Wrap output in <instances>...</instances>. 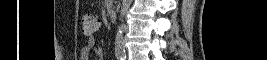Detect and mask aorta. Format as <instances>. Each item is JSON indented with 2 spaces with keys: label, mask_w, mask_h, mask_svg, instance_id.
I'll list each match as a JSON object with an SVG mask.
<instances>
[{
  "label": "aorta",
  "mask_w": 267,
  "mask_h": 60,
  "mask_svg": "<svg viewBox=\"0 0 267 60\" xmlns=\"http://www.w3.org/2000/svg\"><path fill=\"white\" fill-rule=\"evenodd\" d=\"M132 0H122L121 8H120V18L121 24L118 26L117 34L115 38V50L118 54L124 53V45H123V19L125 15L128 13V10L131 6Z\"/></svg>",
  "instance_id": "762f6f07"
}]
</instances>
